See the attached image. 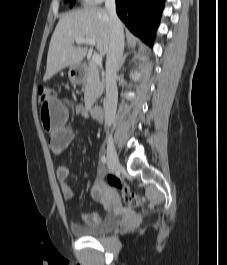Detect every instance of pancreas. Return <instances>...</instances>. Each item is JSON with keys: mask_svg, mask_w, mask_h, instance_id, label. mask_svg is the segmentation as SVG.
<instances>
[{"mask_svg": "<svg viewBox=\"0 0 227 265\" xmlns=\"http://www.w3.org/2000/svg\"><path fill=\"white\" fill-rule=\"evenodd\" d=\"M104 90V78L100 75L96 65L91 64L88 68L85 81L84 99L87 104H93Z\"/></svg>", "mask_w": 227, "mask_h": 265, "instance_id": "obj_1", "label": "pancreas"}]
</instances>
